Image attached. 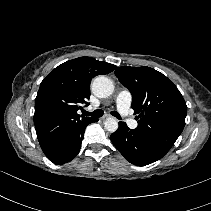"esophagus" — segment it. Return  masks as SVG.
Wrapping results in <instances>:
<instances>
[{
    "mask_svg": "<svg viewBox=\"0 0 211 211\" xmlns=\"http://www.w3.org/2000/svg\"><path fill=\"white\" fill-rule=\"evenodd\" d=\"M110 117V115H104L103 117H102V119L104 120V119H106V118H109Z\"/></svg>",
    "mask_w": 211,
    "mask_h": 211,
    "instance_id": "34e87169",
    "label": "esophagus"
}]
</instances>
